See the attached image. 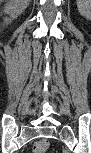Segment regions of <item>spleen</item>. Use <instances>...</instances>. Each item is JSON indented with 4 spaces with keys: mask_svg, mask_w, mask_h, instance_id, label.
<instances>
[{
    "mask_svg": "<svg viewBox=\"0 0 91 153\" xmlns=\"http://www.w3.org/2000/svg\"><path fill=\"white\" fill-rule=\"evenodd\" d=\"M77 7L80 14L87 19L91 16V1L90 0H77Z\"/></svg>",
    "mask_w": 91,
    "mask_h": 153,
    "instance_id": "1",
    "label": "spleen"
}]
</instances>
